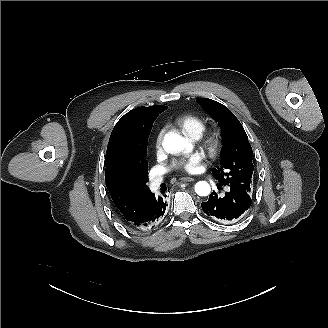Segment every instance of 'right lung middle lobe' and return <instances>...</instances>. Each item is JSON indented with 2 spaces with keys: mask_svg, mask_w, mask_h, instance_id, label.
Instances as JSON below:
<instances>
[{
  "mask_svg": "<svg viewBox=\"0 0 328 328\" xmlns=\"http://www.w3.org/2000/svg\"><path fill=\"white\" fill-rule=\"evenodd\" d=\"M158 115L156 112H145L131 121L124 131V160L130 174L144 185L148 181L147 141Z\"/></svg>",
  "mask_w": 328,
  "mask_h": 328,
  "instance_id": "dd1d6c3e",
  "label": "right lung middle lobe"
}]
</instances>
